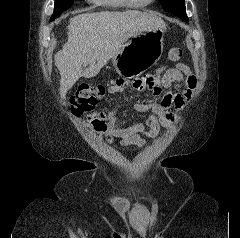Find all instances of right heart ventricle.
<instances>
[{"instance_id": "right-heart-ventricle-1", "label": "right heart ventricle", "mask_w": 240, "mask_h": 238, "mask_svg": "<svg viewBox=\"0 0 240 238\" xmlns=\"http://www.w3.org/2000/svg\"><path fill=\"white\" fill-rule=\"evenodd\" d=\"M94 3L99 4L101 6H105L108 8H113V9H119V8H124L127 7L125 6L121 0H93ZM135 7H141V6H135Z\"/></svg>"}]
</instances>
